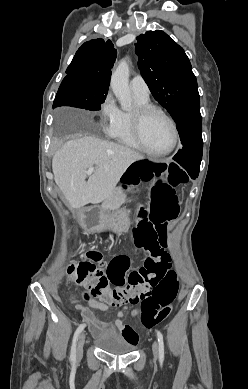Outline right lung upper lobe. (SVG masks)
<instances>
[{
    "instance_id": "right-lung-upper-lobe-1",
    "label": "right lung upper lobe",
    "mask_w": 248,
    "mask_h": 389,
    "mask_svg": "<svg viewBox=\"0 0 248 389\" xmlns=\"http://www.w3.org/2000/svg\"><path fill=\"white\" fill-rule=\"evenodd\" d=\"M116 56L117 50L110 40H90L78 49L66 73L83 74L88 84L108 88Z\"/></svg>"
}]
</instances>
